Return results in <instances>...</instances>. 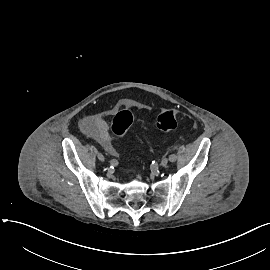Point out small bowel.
<instances>
[{
  "instance_id": "small-bowel-1",
  "label": "small bowel",
  "mask_w": 270,
  "mask_h": 270,
  "mask_svg": "<svg viewBox=\"0 0 270 270\" xmlns=\"http://www.w3.org/2000/svg\"><path fill=\"white\" fill-rule=\"evenodd\" d=\"M81 128L84 134L96 140L105 150H112L108 125L99 115L86 116L81 122Z\"/></svg>"
}]
</instances>
